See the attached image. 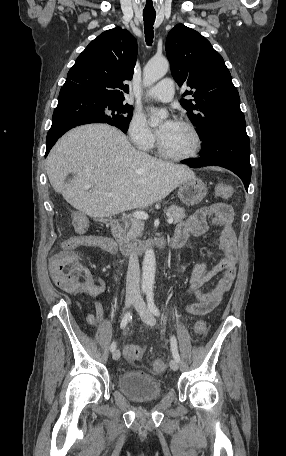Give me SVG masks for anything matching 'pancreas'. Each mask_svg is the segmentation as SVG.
<instances>
[{"label": "pancreas", "instance_id": "1", "mask_svg": "<svg viewBox=\"0 0 286 456\" xmlns=\"http://www.w3.org/2000/svg\"><path fill=\"white\" fill-rule=\"evenodd\" d=\"M167 212L176 224L181 222L185 217V209L172 205L168 208ZM144 230V222L141 219L131 217L125 221L124 227L119 229L120 237L124 242L135 241L137 237L141 236Z\"/></svg>", "mask_w": 286, "mask_h": 456}]
</instances>
